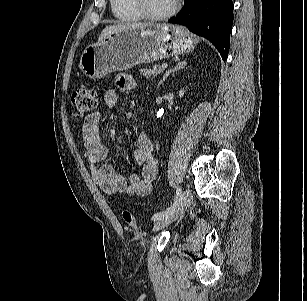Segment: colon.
Listing matches in <instances>:
<instances>
[{"label": "colon", "instance_id": "1", "mask_svg": "<svg viewBox=\"0 0 307 301\" xmlns=\"http://www.w3.org/2000/svg\"><path fill=\"white\" fill-rule=\"evenodd\" d=\"M71 103L76 117L87 118L97 106L96 91L89 86L81 85L73 92ZM123 219L131 227L136 225L134 215L128 210L123 212Z\"/></svg>", "mask_w": 307, "mask_h": 301}]
</instances>
